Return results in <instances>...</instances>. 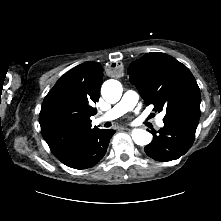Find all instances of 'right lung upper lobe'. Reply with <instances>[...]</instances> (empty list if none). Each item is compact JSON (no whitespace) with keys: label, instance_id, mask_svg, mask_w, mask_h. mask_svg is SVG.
Returning <instances> with one entry per match:
<instances>
[{"label":"right lung upper lobe","instance_id":"right-lung-upper-lobe-1","mask_svg":"<svg viewBox=\"0 0 221 221\" xmlns=\"http://www.w3.org/2000/svg\"><path fill=\"white\" fill-rule=\"evenodd\" d=\"M103 68L85 62L59 78L44 98L39 122L43 138L52 153L61 157L97 129L90 117L96 114L93 103L99 100Z\"/></svg>","mask_w":221,"mask_h":221}]
</instances>
